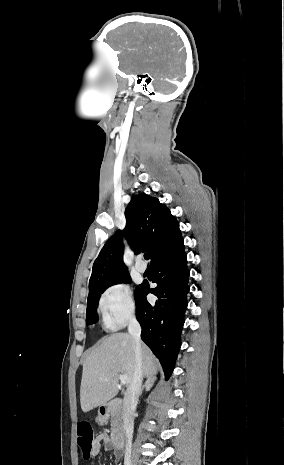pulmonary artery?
I'll return each mask as SVG.
<instances>
[{"label": "pulmonary artery", "instance_id": "pulmonary-artery-1", "mask_svg": "<svg viewBox=\"0 0 284 465\" xmlns=\"http://www.w3.org/2000/svg\"><path fill=\"white\" fill-rule=\"evenodd\" d=\"M135 269L139 273H144L146 270V266L140 259H137L135 262Z\"/></svg>", "mask_w": 284, "mask_h": 465}]
</instances>
